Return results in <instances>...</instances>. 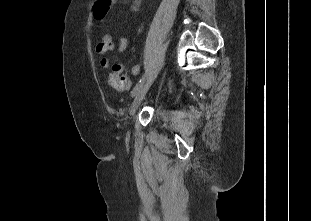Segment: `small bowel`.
Returning a JSON list of instances; mask_svg holds the SVG:
<instances>
[{
	"label": "small bowel",
	"instance_id": "c3829d8e",
	"mask_svg": "<svg viewBox=\"0 0 311 221\" xmlns=\"http://www.w3.org/2000/svg\"><path fill=\"white\" fill-rule=\"evenodd\" d=\"M140 3H141V0H132V10L137 12L139 10V7H140ZM97 46H111L112 50L114 48V42H113V38L110 34H104L102 36V39L101 41L97 44ZM128 47V40L126 37L124 36H119V40H118V46H117V52L119 54L123 53ZM99 56H100V60H99V66L106 70L108 69L109 67V59L106 57V54L107 53H97ZM131 73L134 74V75H137L140 71V68H139V65L138 64H132L131 65ZM131 86V82L128 78V85L126 88L122 89V90H125V89H128L129 87Z\"/></svg>",
	"mask_w": 311,
	"mask_h": 221
}]
</instances>
